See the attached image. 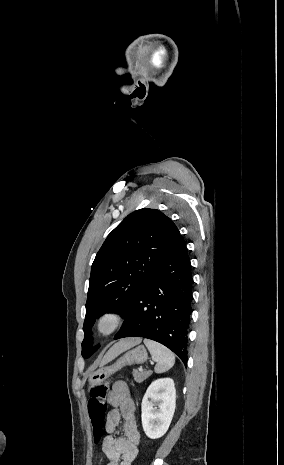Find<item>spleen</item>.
<instances>
[{
    "label": "spleen",
    "instance_id": "3e777b00",
    "mask_svg": "<svg viewBox=\"0 0 284 465\" xmlns=\"http://www.w3.org/2000/svg\"><path fill=\"white\" fill-rule=\"evenodd\" d=\"M144 345H146L152 361H156L155 373H166L175 363V355L160 345V343H155V341H149V339H144Z\"/></svg>",
    "mask_w": 284,
    "mask_h": 465
}]
</instances>
